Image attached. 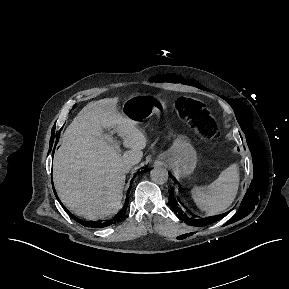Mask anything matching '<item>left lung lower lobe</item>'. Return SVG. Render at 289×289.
I'll return each instance as SVG.
<instances>
[{
  "mask_svg": "<svg viewBox=\"0 0 289 289\" xmlns=\"http://www.w3.org/2000/svg\"><path fill=\"white\" fill-rule=\"evenodd\" d=\"M169 202H170V205L172 207V211L175 214H177L178 217H180V219H182L185 223L190 224V225H194V226H202V225L211 224L213 222L220 220L222 217H224L227 214V213H224L221 215L202 218V219L190 218L183 213L181 207L179 206L177 200L175 199V197L173 195L172 188L169 190Z\"/></svg>",
  "mask_w": 289,
  "mask_h": 289,
  "instance_id": "left-lung-lower-lobe-1",
  "label": "left lung lower lobe"
}]
</instances>
